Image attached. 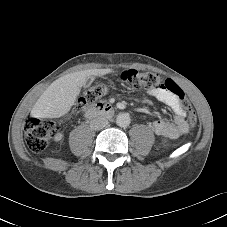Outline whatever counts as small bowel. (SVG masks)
Masks as SVG:
<instances>
[{
	"label": "small bowel",
	"instance_id": "obj_1",
	"mask_svg": "<svg viewBox=\"0 0 227 227\" xmlns=\"http://www.w3.org/2000/svg\"><path fill=\"white\" fill-rule=\"evenodd\" d=\"M146 95L153 96L158 101L167 105L174 114L173 121L171 122L158 119L152 123V129L157 135L170 139H176L187 132L188 123L186 121V111L173 93L166 89L157 91L147 89ZM61 138L62 135L58 133L56 135V140H60Z\"/></svg>",
	"mask_w": 227,
	"mask_h": 227
}]
</instances>
